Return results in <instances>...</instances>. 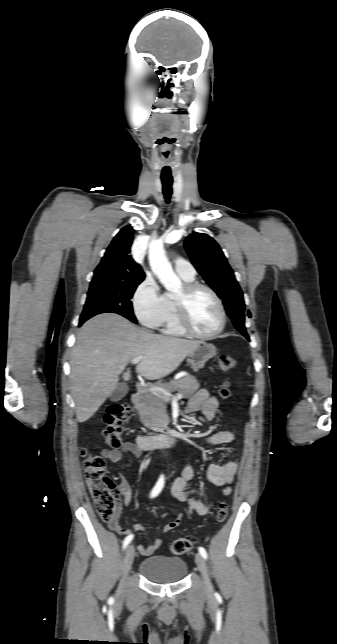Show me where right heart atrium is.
Wrapping results in <instances>:
<instances>
[{"instance_id": "d8ad5b80", "label": "right heart atrium", "mask_w": 337, "mask_h": 644, "mask_svg": "<svg viewBox=\"0 0 337 644\" xmlns=\"http://www.w3.org/2000/svg\"><path fill=\"white\" fill-rule=\"evenodd\" d=\"M133 307L138 320L146 327H158L164 313V295L154 278H146L135 290Z\"/></svg>"}]
</instances>
